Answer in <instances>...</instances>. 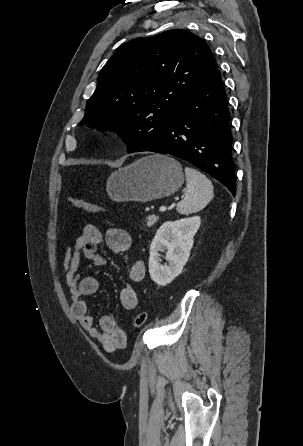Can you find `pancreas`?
Returning <instances> with one entry per match:
<instances>
[{"mask_svg": "<svg viewBox=\"0 0 303 446\" xmlns=\"http://www.w3.org/2000/svg\"><path fill=\"white\" fill-rule=\"evenodd\" d=\"M157 219H158V217H156V216H149L146 221L147 226L148 227L153 226L157 222Z\"/></svg>", "mask_w": 303, "mask_h": 446, "instance_id": "obj_1", "label": "pancreas"}]
</instances>
